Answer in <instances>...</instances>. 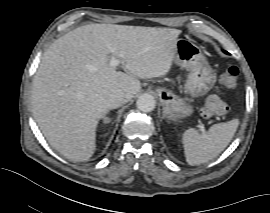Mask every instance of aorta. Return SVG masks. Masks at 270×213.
Segmentation results:
<instances>
[{"label":"aorta","instance_id":"1","mask_svg":"<svg viewBox=\"0 0 270 213\" xmlns=\"http://www.w3.org/2000/svg\"><path fill=\"white\" fill-rule=\"evenodd\" d=\"M137 108L142 112H151L156 106L155 98L150 94H143L138 97Z\"/></svg>","mask_w":270,"mask_h":213}]
</instances>
